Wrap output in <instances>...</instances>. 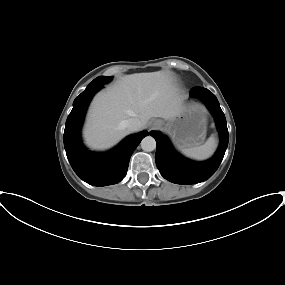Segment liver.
Instances as JSON below:
<instances>
[{
	"label": "liver",
	"mask_w": 285,
	"mask_h": 285,
	"mask_svg": "<svg viewBox=\"0 0 285 285\" xmlns=\"http://www.w3.org/2000/svg\"><path fill=\"white\" fill-rule=\"evenodd\" d=\"M182 109V98L169 72L126 75L95 96L84 137L93 149H106L129 133L123 121L137 118L144 128L152 117L169 120Z\"/></svg>",
	"instance_id": "liver-1"
}]
</instances>
